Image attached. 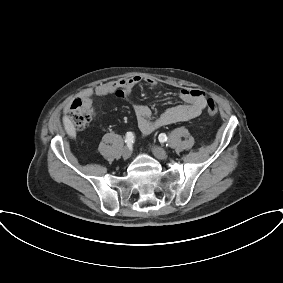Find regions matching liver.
Instances as JSON below:
<instances>
[{"mask_svg": "<svg viewBox=\"0 0 283 283\" xmlns=\"http://www.w3.org/2000/svg\"><path fill=\"white\" fill-rule=\"evenodd\" d=\"M63 124L67 134L71 137H75L76 136L75 127L67 116L63 117Z\"/></svg>", "mask_w": 283, "mask_h": 283, "instance_id": "obj_1", "label": "liver"}]
</instances>
